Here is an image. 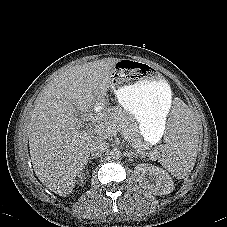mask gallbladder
I'll use <instances>...</instances> for the list:
<instances>
[{
	"label": "gallbladder",
	"mask_w": 227,
	"mask_h": 227,
	"mask_svg": "<svg viewBox=\"0 0 227 227\" xmlns=\"http://www.w3.org/2000/svg\"><path fill=\"white\" fill-rule=\"evenodd\" d=\"M76 115L79 119L85 118V116L82 113H80L79 111H77Z\"/></svg>",
	"instance_id": "bac80fb5"
}]
</instances>
